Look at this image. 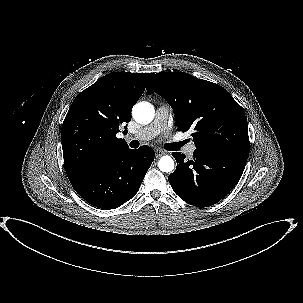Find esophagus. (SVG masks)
Here are the masks:
<instances>
[{"label": "esophagus", "instance_id": "1", "mask_svg": "<svg viewBox=\"0 0 303 303\" xmlns=\"http://www.w3.org/2000/svg\"><path fill=\"white\" fill-rule=\"evenodd\" d=\"M164 154H165V152L160 150V149L155 150V157L156 158L161 157Z\"/></svg>", "mask_w": 303, "mask_h": 303}]
</instances>
